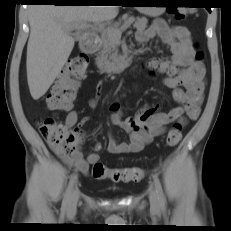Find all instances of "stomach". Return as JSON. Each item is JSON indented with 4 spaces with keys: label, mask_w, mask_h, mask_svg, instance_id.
Listing matches in <instances>:
<instances>
[{
    "label": "stomach",
    "mask_w": 231,
    "mask_h": 231,
    "mask_svg": "<svg viewBox=\"0 0 231 231\" xmlns=\"http://www.w3.org/2000/svg\"><path fill=\"white\" fill-rule=\"evenodd\" d=\"M143 4H160L162 1L160 0H148V1H143ZM165 7H151V6H144V7H137V10L145 15L148 16H159L165 11Z\"/></svg>",
    "instance_id": "obj_1"
}]
</instances>
